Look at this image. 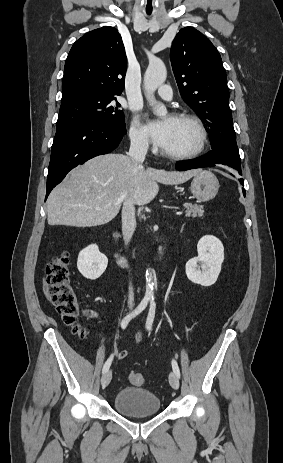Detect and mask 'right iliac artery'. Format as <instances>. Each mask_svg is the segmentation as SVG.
I'll return each instance as SVG.
<instances>
[{
	"instance_id": "82829eb1",
	"label": "right iliac artery",
	"mask_w": 283,
	"mask_h": 463,
	"mask_svg": "<svg viewBox=\"0 0 283 463\" xmlns=\"http://www.w3.org/2000/svg\"><path fill=\"white\" fill-rule=\"evenodd\" d=\"M147 304H148V299H143L134 311H132L127 316H125L121 322L122 329H125L128 323L130 322V320L134 318L135 316H137L138 314H140L147 307ZM112 359H113V355H111L105 362L103 369H102L103 373L109 370L111 363H112Z\"/></svg>"
}]
</instances>
